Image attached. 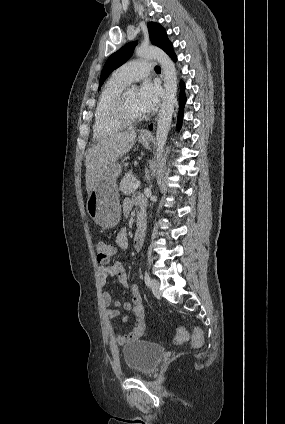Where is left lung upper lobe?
<instances>
[{"mask_svg":"<svg viewBox=\"0 0 285 424\" xmlns=\"http://www.w3.org/2000/svg\"><path fill=\"white\" fill-rule=\"evenodd\" d=\"M147 26L152 43L166 51L170 47L171 42L167 37L165 29L155 22H149ZM136 44L137 42H130L108 58L100 76L99 89L110 73L131 57Z\"/></svg>","mask_w":285,"mask_h":424,"instance_id":"left-lung-upper-lobe-1","label":"left lung upper lobe"}]
</instances>
